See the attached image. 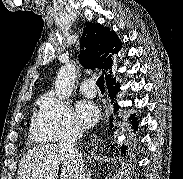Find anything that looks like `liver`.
Segmentation results:
<instances>
[{"mask_svg":"<svg viewBox=\"0 0 183 179\" xmlns=\"http://www.w3.org/2000/svg\"><path fill=\"white\" fill-rule=\"evenodd\" d=\"M60 165V178L74 179L73 160L67 151L56 144L36 146L23 155L17 179H58Z\"/></svg>","mask_w":183,"mask_h":179,"instance_id":"1","label":"liver"}]
</instances>
